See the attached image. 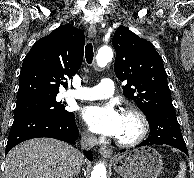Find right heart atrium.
Masks as SVG:
<instances>
[{
	"label": "right heart atrium",
	"mask_w": 194,
	"mask_h": 178,
	"mask_svg": "<svg viewBox=\"0 0 194 178\" xmlns=\"http://www.w3.org/2000/svg\"><path fill=\"white\" fill-rule=\"evenodd\" d=\"M82 135H83V138L87 141H92L94 139V136L88 129H85Z\"/></svg>",
	"instance_id": "1"
}]
</instances>
